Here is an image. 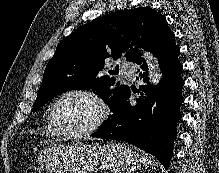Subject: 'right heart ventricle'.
<instances>
[{
	"instance_id": "obj_1",
	"label": "right heart ventricle",
	"mask_w": 219,
	"mask_h": 173,
	"mask_svg": "<svg viewBox=\"0 0 219 173\" xmlns=\"http://www.w3.org/2000/svg\"><path fill=\"white\" fill-rule=\"evenodd\" d=\"M45 132L50 136H59L60 134L54 129L50 122L49 115L47 116Z\"/></svg>"
}]
</instances>
